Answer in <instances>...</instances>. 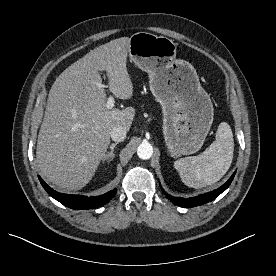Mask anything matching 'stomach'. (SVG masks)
Instances as JSON below:
<instances>
[{
	"instance_id": "obj_1",
	"label": "stomach",
	"mask_w": 276,
	"mask_h": 276,
	"mask_svg": "<svg viewBox=\"0 0 276 276\" xmlns=\"http://www.w3.org/2000/svg\"><path fill=\"white\" fill-rule=\"evenodd\" d=\"M128 54L149 74V86L163 113V134L171 156L189 155L203 145L214 116L210 96L195 68L176 59V44L147 32L131 36Z\"/></svg>"
}]
</instances>
